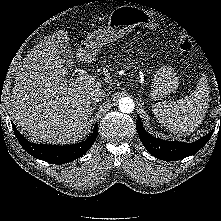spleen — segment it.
Here are the masks:
<instances>
[{
	"label": "spleen",
	"instance_id": "obj_1",
	"mask_svg": "<svg viewBox=\"0 0 221 221\" xmlns=\"http://www.w3.org/2000/svg\"><path fill=\"white\" fill-rule=\"evenodd\" d=\"M209 102V89L206 77L203 76L189 95L169 104L153 105L157 120L169 131L177 135H188L194 132L205 117Z\"/></svg>",
	"mask_w": 221,
	"mask_h": 221
}]
</instances>
